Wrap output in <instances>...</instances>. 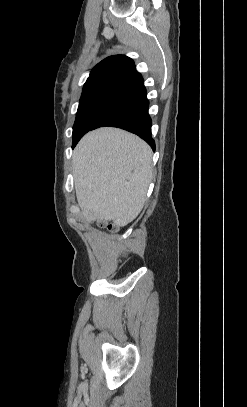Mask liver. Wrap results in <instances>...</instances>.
<instances>
[{
	"instance_id": "1",
	"label": "liver",
	"mask_w": 247,
	"mask_h": 407,
	"mask_svg": "<svg viewBox=\"0 0 247 407\" xmlns=\"http://www.w3.org/2000/svg\"><path fill=\"white\" fill-rule=\"evenodd\" d=\"M152 151L142 139L116 128L87 133L72 161L77 200L83 216L117 226L141 212L152 178Z\"/></svg>"
}]
</instances>
